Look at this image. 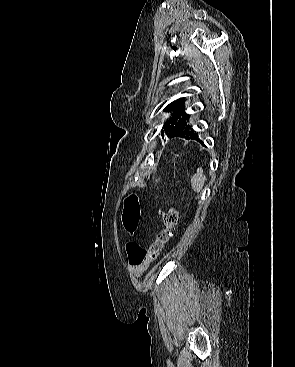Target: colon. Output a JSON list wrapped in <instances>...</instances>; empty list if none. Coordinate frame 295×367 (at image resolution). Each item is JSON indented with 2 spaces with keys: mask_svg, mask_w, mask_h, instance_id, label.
<instances>
[{
  "mask_svg": "<svg viewBox=\"0 0 295 367\" xmlns=\"http://www.w3.org/2000/svg\"><path fill=\"white\" fill-rule=\"evenodd\" d=\"M163 229L157 234L155 240L148 248H143L137 243L129 242L127 244V253L129 263L132 265H141L143 263H153L159 257L165 244L171 237L172 229L179 219V210L176 207H170L161 212ZM140 205L136 195H129L124 202L122 215L123 226L129 233L133 234L139 224Z\"/></svg>",
  "mask_w": 295,
  "mask_h": 367,
  "instance_id": "colon-1",
  "label": "colon"
}]
</instances>
